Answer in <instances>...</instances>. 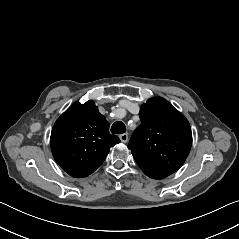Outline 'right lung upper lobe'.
<instances>
[{
  "label": "right lung upper lobe",
  "mask_w": 239,
  "mask_h": 239,
  "mask_svg": "<svg viewBox=\"0 0 239 239\" xmlns=\"http://www.w3.org/2000/svg\"><path fill=\"white\" fill-rule=\"evenodd\" d=\"M119 142L93 101L72 104L55 122L50 138L54 159L75 178L93 173Z\"/></svg>",
  "instance_id": "obj_1"
}]
</instances>
